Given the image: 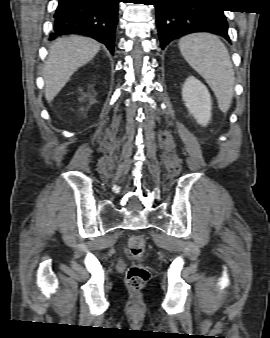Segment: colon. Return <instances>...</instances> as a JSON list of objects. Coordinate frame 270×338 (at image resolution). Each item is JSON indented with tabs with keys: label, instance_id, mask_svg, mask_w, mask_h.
<instances>
[{
	"label": "colon",
	"instance_id": "1",
	"mask_svg": "<svg viewBox=\"0 0 270 338\" xmlns=\"http://www.w3.org/2000/svg\"><path fill=\"white\" fill-rule=\"evenodd\" d=\"M128 249L132 263L127 269L125 281L132 290H141L149 281L150 273L141 262L146 250V241L142 235H133L128 240Z\"/></svg>",
	"mask_w": 270,
	"mask_h": 338
}]
</instances>
